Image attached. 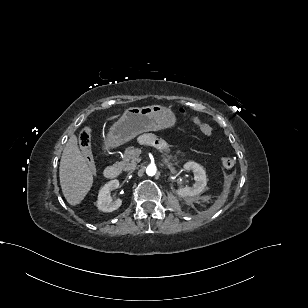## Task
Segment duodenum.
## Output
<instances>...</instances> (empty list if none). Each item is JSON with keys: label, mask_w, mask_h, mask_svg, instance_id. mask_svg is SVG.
I'll list each match as a JSON object with an SVG mask.
<instances>
[{"label": "duodenum", "mask_w": 308, "mask_h": 308, "mask_svg": "<svg viewBox=\"0 0 308 308\" xmlns=\"http://www.w3.org/2000/svg\"><path fill=\"white\" fill-rule=\"evenodd\" d=\"M120 174V168L117 165L107 166L104 170V176L107 179H116Z\"/></svg>", "instance_id": "obj_1"}]
</instances>
